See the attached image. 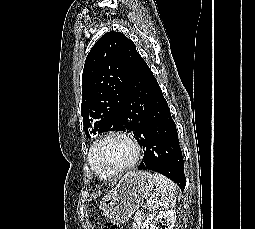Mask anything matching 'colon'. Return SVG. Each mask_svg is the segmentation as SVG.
I'll return each mask as SVG.
<instances>
[{
	"label": "colon",
	"instance_id": "colon-1",
	"mask_svg": "<svg viewBox=\"0 0 255 229\" xmlns=\"http://www.w3.org/2000/svg\"><path fill=\"white\" fill-rule=\"evenodd\" d=\"M102 229H119L116 223L108 221L104 224Z\"/></svg>",
	"mask_w": 255,
	"mask_h": 229
}]
</instances>
